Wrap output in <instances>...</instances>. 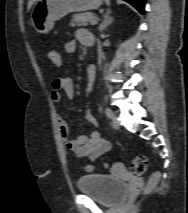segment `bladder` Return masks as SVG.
<instances>
[{"mask_svg":"<svg viewBox=\"0 0 188 213\" xmlns=\"http://www.w3.org/2000/svg\"><path fill=\"white\" fill-rule=\"evenodd\" d=\"M78 190L105 206L121 201L127 191L124 181L110 174L91 173L82 175L77 181Z\"/></svg>","mask_w":188,"mask_h":213,"instance_id":"bladder-1","label":"bladder"}]
</instances>
